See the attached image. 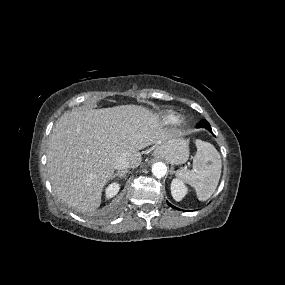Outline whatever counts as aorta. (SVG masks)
Instances as JSON below:
<instances>
[{"instance_id": "obj_1", "label": "aorta", "mask_w": 285, "mask_h": 285, "mask_svg": "<svg viewBox=\"0 0 285 285\" xmlns=\"http://www.w3.org/2000/svg\"><path fill=\"white\" fill-rule=\"evenodd\" d=\"M167 173V167L162 162H156L152 166V174L157 178H162Z\"/></svg>"}]
</instances>
